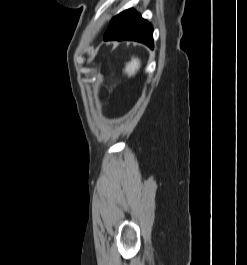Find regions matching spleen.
<instances>
[{
    "mask_svg": "<svg viewBox=\"0 0 247 265\" xmlns=\"http://www.w3.org/2000/svg\"><path fill=\"white\" fill-rule=\"evenodd\" d=\"M140 68V60L138 58H132L131 61L129 63L126 64L125 67V73H127V75L129 77L135 75V73L139 70Z\"/></svg>",
    "mask_w": 247,
    "mask_h": 265,
    "instance_id": "spleen-1",
    "label": "spleen"
}]
</instances>
